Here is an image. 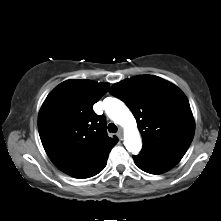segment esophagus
<instances>
[{
  "label": "esophagus",
  "mask_w": 221,
  "mask_h": 221,
  "mask_svg": "<svg viewBox=\"0 0 221 221\" xmlns=\"http://www.w3.org/2000/svg\"><path fill=\"white\" fill-rule=\"evenodd\" d=\"M117 136H118V138H119L120 140H122V137H123V130H122V129H120V130L118 131Z\"/></svg>",
  "instance_id": "1"
}]
</instances>
